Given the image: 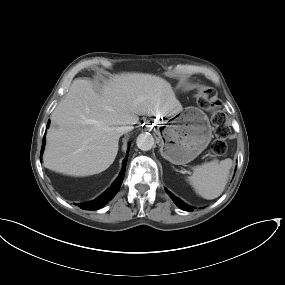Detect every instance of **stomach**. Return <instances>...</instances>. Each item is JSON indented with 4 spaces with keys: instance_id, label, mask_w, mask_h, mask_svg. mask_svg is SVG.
<instances>
[{
    "instance_id": "1",
    "label": "stomach",
    "mask_w": 285,
    "mask_h": 285,
    "mask_svg": "<svg viewBox=\"0 0 285 285\" xmlns=\"http://www.w3.org/2000/svg\"><path fill=\"white\" fill-rule=\"evenodd\" d=\"M156 133L161 140L162 157L176 165L194 160L212 138L207 115L195 107H187L158 121Z\"/></svg>"
}]
</instances>
